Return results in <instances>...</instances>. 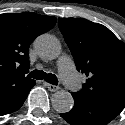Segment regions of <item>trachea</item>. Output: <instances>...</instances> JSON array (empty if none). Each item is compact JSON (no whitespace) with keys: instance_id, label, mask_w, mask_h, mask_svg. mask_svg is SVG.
<instances>
[{"instance_id":"1","label":"trachea","mask_w":125,"mask_h":125,"mask_svg":"<svg viewBox=\"0 0 125 125\" xmlns=\"http://www.w3.org/2000/svg\"><path fill=\"white\" fill-rule=\"evenodd\" d=\"M28 76L30 78H34V79H38V80H45L46 82L53 84V85H57L58 84V80L57 77L54 74L51 73H45L41 70H33L32 72H30L28 74Z\"/></svg>"}]
</instances>
